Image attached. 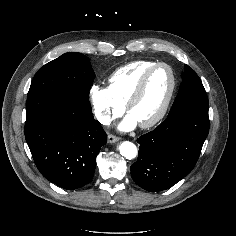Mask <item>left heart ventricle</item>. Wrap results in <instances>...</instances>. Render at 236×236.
Wrapping results in <instances>:
<instances>
[{
    "label": "left heart ventricle",
    "mask_w": 236,
    "mask_h": 236,
    "mask_svg": "<svg viewBox=\"0 0 236 236\" xmlns=\"http://www.w3.org/2000/svg\"><path fill=\"white\" fill-rule=\"evenodd\" d=\"M171 85L169 71L164 68H158L150 76L143 94L129 111L137 122L144 123L153 119L160 109L168 95Z\"/></svg>",
    "instance_id": "obj_1"
}]
</instances>
